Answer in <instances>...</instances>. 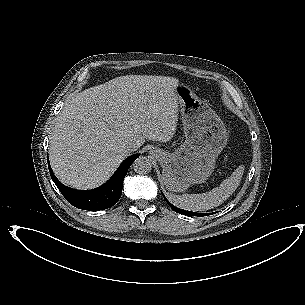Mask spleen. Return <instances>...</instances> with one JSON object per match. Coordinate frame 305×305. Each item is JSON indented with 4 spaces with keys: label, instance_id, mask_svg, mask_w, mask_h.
<instances>
[{
    "label": "spleen",
    "instance_id": "obj_1",
    "mask_svg": "<svg viewBox=\"0 0 305 305\" xmlns=\"http://www.w3.org/2000/svg\"><path fill=\"white\" fill-rule=\"evenodd\" d=\"M240 178L236 171L229 178L222 181L219 187L202 194H168L169 200L177 207L194 212H200L218 207L233 193V186Z\"/></svg>",
    "mask_w": 305,
    "mask_h": 305
}]
</instances>
